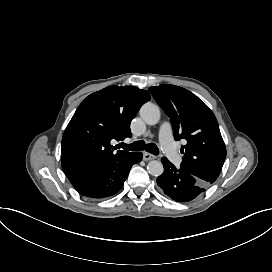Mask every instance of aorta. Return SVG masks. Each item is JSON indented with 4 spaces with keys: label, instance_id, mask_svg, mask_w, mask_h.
I'll use <instances>...</instances> for the list:
<instances>
[{
    "label": "aorta",
    "instance_id": "1",
    "mask_svg": "<svg viewBox=\"0 0 272 272\" xmlns=\"http://www.w3.org/2000/svg\"><path fill=\"white\" fill-rule=\"evenodd\" d=\"M140 116L148 125H155L160 119L158 105L147 102L140 108ZM147 170L152 176H160L164 172L163 164L160 161L152 160L147 165Z\"/></svg>",
    "mask_w": 272,
    "mask_h": 272
}]
</instances>
